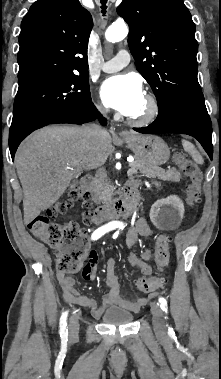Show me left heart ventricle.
<instances>
[{
  "label": "left heart ventricle",
  "instance_id": "1",
  "mask_svg": "<svg viewBox=\"0 0 221 379\" xmlns=\"http://www.w3.org/2000/svg\"><path fill=\"white\" fill-rule=\"evenodd\" d=\"M146 108H147V103H146V100L144 99L140 109L131 117H139V116L143 115L144 112L146 111Z\"/></svg>",
  "mask_w": 221,
  "mask_h": 379
}]
</instances>
